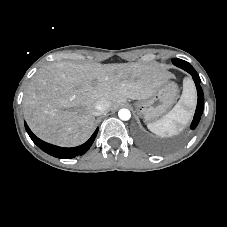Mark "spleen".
Masks as SVG:
<instances>
[{
    "label": "spleen",
    "instance_id": "obj_1",
    "mask_svg": "<svg viewBox=\"0 0 227 227\" xmlns=\"http://www.w3.org/2000/svg\"><path fill=\"white\" fill-rule=\"evenodd\" d=\"M195 105V96L191 85L186 82L178 103L160 120L147 124V128L161 137H171L178 134L188 123L192 107ZM187 107V108H186Z\"/></svg>",
    "mask_w": 227,
    "mask_h": 227
}]
</instances>
